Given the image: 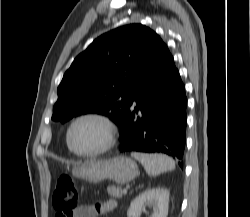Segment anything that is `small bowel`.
<instances>
[{
	"label": "small bowel",
	"mask_w": 250,
	"mask_h": 217,
	"mask_svg": "<svg viewBox=\"0 0 250 217\" xmlns=\"http://www.w3.org/2000/svg\"><path fill=\"white\" fill-rule=\"evenodd\" d=\"M115 207V200L103 201L95 205H81L73 211L72 217H98L99 215H107Z\"/></svg>",
	"instance_id": "1"
}]
</instances>
